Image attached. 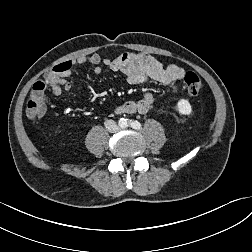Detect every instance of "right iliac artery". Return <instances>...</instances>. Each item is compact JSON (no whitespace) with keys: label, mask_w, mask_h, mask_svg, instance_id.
<instances>
[{"label":"right iliac artery","mask_w":252,"mask_h":252,"mask_svg":"<svg viewBox=\"0 0 252 252\" xmlns=\"http://www.w3.org/2000/svg\"><path fill=\"white\" fill-rule=\"evenodd\" d=\"M128 124V122L125 120V125Z\"/></svg>","instance_id":"1"}]
</instances>
